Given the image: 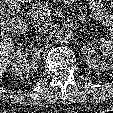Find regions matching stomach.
<instances>
[{
    "instance_id": "stomach-1",
    "label": "stomach",
    "mask_w": 113,
    "mask_h": 113,
    "mask_svg": "<svg viewBox=\"0 0 113 113\" xmlns=\"http://www.w3.org/2000/svg\"><path fill=\"white\" fill-rule=\"evenodd\" d=\"M19 1H22V2H31L33 0H19Z\"/></svg>"
}]
</instances>
